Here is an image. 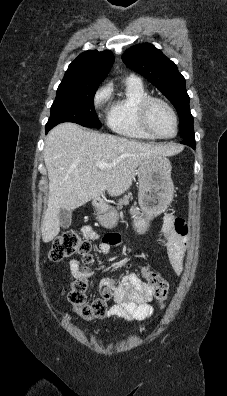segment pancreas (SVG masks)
Wrapping results in <instances>:
<instances>
[{
	"mask_svg": "<svg viewBox=\"0 0 227 396\" xmlns=\"http://www.w3.org/2000/svg\"><path fill=\"white\" fill-rule=\"evenodd\" d=\"M130 197H131V194L124 196V198L119 201L118 205L122 206L123 204H127L129 202Z\"/></svg>",
	"mask_w": 227,
	"mask_h": 396,
	"instance_id": "obj_1",
	"label": "pancreas"
}]
</instances>
